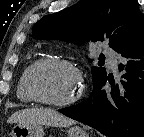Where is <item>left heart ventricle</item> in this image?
I'll return each instance as SVG.
<instances>
[{
  "mask_svg": "<svg viewBox=\"0 0 144 137\" xmlns=\"http://www.w3.org/2000/svg\"><path fill=\"white\" fill-rule=\"evenodd\" d=\"M35 86L43 97L53 101H65L77 93L79 80L69 68L49 66L38 72Z\"/></svg>",
  "mask_w": 144,
  "mask_h": 137,
  "instance_id": "1",
  "label": "left heart ventricle"
}]
</instances>
